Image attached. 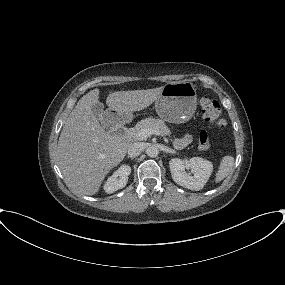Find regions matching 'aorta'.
I'll return each mask as SVG.
<instances>
[{
    "label": "aorta",
    "mask_w": 285,
    "mask_h": 285,
    "mask_svg": "<svg viewBox=\"0 0 285 285\" xmlns=\"http://www.w3.org/2000/svg\"><path fill=\"white\" fill-rule=\"evenodd\" d=\"M146 154L149 157H156L159 154V150H158V148L156 146H150V147L147 148Z\"/></svg>",
    "instance_id": "obj_1"
}]
</instances>
